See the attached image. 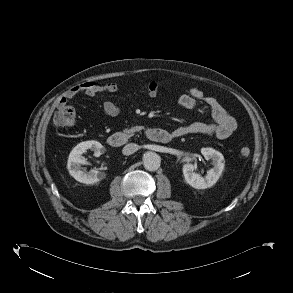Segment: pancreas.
Instances as JSON below:
<instances>
[{"instance_id": "1", "label": "pancreas", "mask_w": 293, "mask_h": 293, "mask_svg": "<svg viewBox=\"0 0 293 293\" xmlns=\"http://www.w3.org/2000/svg\"><path fill=\"white\" fill-rule=\"evenodd\" d=\"M141 129H143V126H135L131 127L130 129H125L124 132L133 135L135 132L140 131Z\"/></svg>"}]
</instances>
